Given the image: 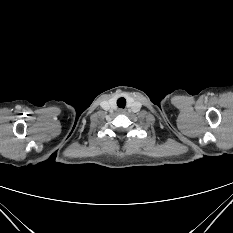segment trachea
Returning <instances> with one entry per match:
<instances>
[{"mask_svg":"<svg viewBox=\"0 0 233 233\" xmlns=\"http://www.w3.org/2000/svg\"><path fill=\"white\" fill-rule=\"evenodd\" d=\"M125 104H126V100H125V98H119L118 100H117V105H118V107H120V108H124L125 107Z\"/></svg>","mask_w":233,"mask_h":233,"instance_id":"1","label":"trachea"}]
</instances>
